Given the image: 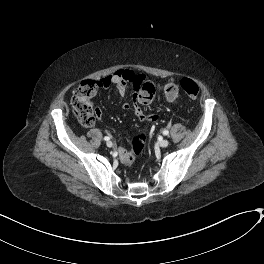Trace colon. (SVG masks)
I'll return each mask as SVG.
<instances>
[{
  "mask_svg": "<svg viewBox=\"0 0 264 264\" xmlns=\"http://www.w3.org/2000/svg\"><path fill=\"white\" fill-rule=\"evenodd\" d=\"M181 88L190 99H196L200 93V89L196 81L189 77H184L180 82ZM97 83L92 80L80 82L72 91L71 104L74 114L79 123L83 127H92L98 117L99 110L92 105L91 99L95 94ZM162 90L164 95L169 100H176L179 97L180 90L178 84L170 81L161 87L150 80H146L138 91V101L144 105H148ZM145 147L143 137H135L131 143V152L129 160L138 158Z\"/></svg>",
  "mask_w": 264,
  "mask_h": 264,
  "instance_id": "colon-1",
  "label": "colon"
}]
</instances>
